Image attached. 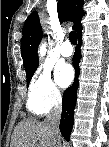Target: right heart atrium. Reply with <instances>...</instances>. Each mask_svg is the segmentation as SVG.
<instances>
[{
	"label": "right heart atrium",
	"mask_w": 109,
	"mask_h": 147,
	"mask_svg": "<svg viewBox=\"0 0 109 147\" xmlns=\"http://www.w3.org/2000/svg\"><path fill=\"white\" fill-rule=\"evenodd\" d=\"M62 94L51 77L48 67H40L34 74L30 86L28 102L37 106L41 114L60 104Z\"/></svg>",
	"instance_id": "obj_1"
}]
</instances>
